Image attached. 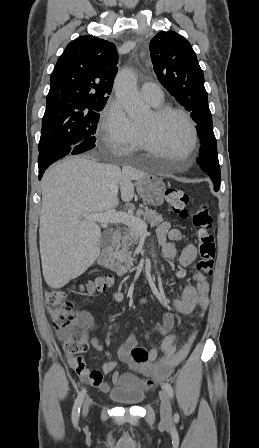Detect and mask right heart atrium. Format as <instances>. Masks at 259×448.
<instances>
[{"instance_id":"right-heart-atrium-1","label":"right heart atrium","mask_w":259,"mask_h":448,"mask_svg":"<svg viewBox=\"0 0 259 448\" xmlns=\"http://www.w3.org/2000/svg\"><path fill=\"white\" fill-rule=\"evenodd\" d=\"M98 142L103 152H113V157L131 159L139 143V134L118 100L110 102L100 122Z\"/></svg>"}]
</instances>
